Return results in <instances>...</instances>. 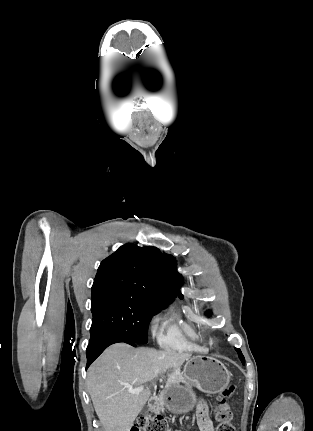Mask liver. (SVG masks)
I'll use <instances>...</instances> for the list:
<instances>
[{
	"label": "liver",
	"mask_w": 313,
	"mask_h": 431,
	"mask_svg": "<svg viewBox=\"0 0 313 431\" xmlns=\"http://www.w3.org/2000/svg\"><path fill=\"white\" fill-rule=\"evenodd\" d=\"M189 353L152 348H133L116 343L90 366L87 387L104 431H130L134 420L149 400L148 388L139 394L129 388L144 386L167 370L169 380L180 375Z\"/></svg>",
	"instance_id": "1"
}]
</instances>
